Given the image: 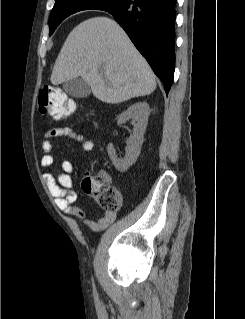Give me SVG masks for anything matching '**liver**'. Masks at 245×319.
I'll return each instance as SVG.
<instances>
[{"label":"liver","mask_w":245,"mask_h":319,"mask_svg":"<svg viewBox=\"0 0 245 319\" xmlns=\"http://www.w3.org/2000/svg\"><path fill=\"white\" fill-rule=\"evenodd\" d=\"M81 77L102 102L121 103L151 94L155 75L120 25L96 16L68 35L51 74L53 85Z\"/></svg>","instance_id":"liver-1"}]
</instances>
